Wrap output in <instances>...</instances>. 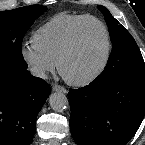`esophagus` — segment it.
Wrapping results in <instances>:
<instances>
[{
    "instance_id": "1",
    "label": "esophagus",
    "mask_w": 145,
    "mask_h": 145,
    "mask_svg": "<svg viewBox=\"0 0 145 145\" xmlns=\"http://www.w3.org/2000/svg\"><path fill=\"white\" fill-rule=\"evenodd\" d=\"M52 90L54 92H62V93H67L68 92L67 89H65L64 87H62L60 85H57V84L52 86Z\"/></svg>"
}]
</instances>
